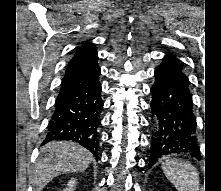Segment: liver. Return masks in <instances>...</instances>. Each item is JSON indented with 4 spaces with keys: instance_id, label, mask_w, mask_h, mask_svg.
Segmentation results:
<instances>
[{
    "instance_id": "6515ba94",
    "label": "liver",
    "mask_w": 221,
    "mask_h": 191,
    "mask_svg": "<svg viewBox=\"0 0 221 191\" xmlns=\"http://www.w3.org/2000/svg\"><path fill=\"white\" fill-rule=\"evenodd\" d=\"M41 153L31 179L35 191H42L61 174L85 171L93 159L89 151L71 141L50 142L42 147Z\"/></svg>"
}]
</instances>
